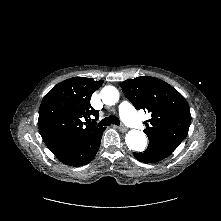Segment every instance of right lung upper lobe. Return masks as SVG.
I'll use <instances>...</instances> for the list:
<instances>
[{"mask_svg": "<svg viewBox=\"0 0 221 221\" xmlns=\"http://www.w3.org/2000/svg\"><path fill=\"white\" fill-rule=\"evenodd\" d=\"M102 84V80L73 77L54 86L43 98L39 108V131L55 156L74 146L88 133L100 129L86 125L82 120L91 115L95 116L93 121L97 120L98 111L90 105V98Z\"/></svg>", "mask_w": 221, "mask_h": 221, "instance_id": "obj_1", "label": "right lung upper lobe"}]
</instances>
